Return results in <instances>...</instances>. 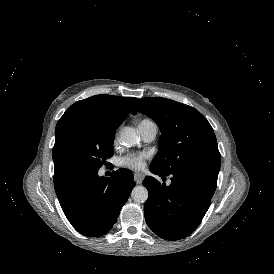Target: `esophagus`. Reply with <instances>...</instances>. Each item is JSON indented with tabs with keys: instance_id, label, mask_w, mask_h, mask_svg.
<instances>
[{
	"instance_id": "1",
	"label": "esophagus",
	"mask_w": 274,
	"mask_h": 274,
	"mask_svg": "<svg viewBox=\"0 0 274 274\" xmlns=\"http://www.w3.org/2000/svg\"><path fill=\"white\" fill-rule=\"evenodd\" d=\"M134 180L137 184H141L144 180V175H142L141 173H134Z\"/></svg>"
}]
</instances>
